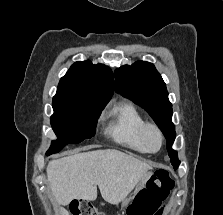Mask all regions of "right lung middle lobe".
<instances>
[{"instance_id":"obj_1","label":"right lung middle lobe","mask_w":223,"mask_h":215,"mask_svg":"<svg viewBox=\"0 0 223 215\" xmlns=\"http://www.w3.org/2000/svg\"><path fill=\"white\" fill-rule=\"evenodd\" d=\"M51 126L58 137L46 155L61 151L67 144H77L95 134L96 123L103 108L95 106H54Z\"/></svg>"}]
</instances>
